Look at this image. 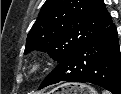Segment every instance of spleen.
Here are the masks:
<instances>
[{
  "label": "spleen",
  "instance_id": "1",
  "mask_svg": "<svg viewBox=\"0 0 121 94\" xmlns=\"http://www.w3.org/2000/svg\"><path fill=\"white\" fill-rule=\"evenodd\" d=\"M102 94H108V92L104 91Z\"/></svg>",
  "mask_w": 121,
  "mask_h": 94
}]
</instances>
